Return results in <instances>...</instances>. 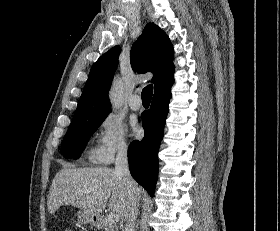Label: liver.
<instances>
[{
	"instance_id": "1",
	"label": "liver",
	"mask_w": 280,
	"mask_h": 231,
	"mask_svg": "<svg viewBox=\"0 0 280 231\" xmlns=\"http://www.w3.org/2000/svg\"><path fill=\"white\" fill-rule=\"evenodd\" d=\"M141 187H133L125 177L116 175L110 167H71L63 165L49 189L47 207L54 213L60 205L85 209L91 217H101L107 201L108 209L126 221L134 195L140 197Z\"/></svg>"
}]
</instances>
